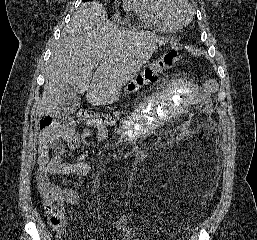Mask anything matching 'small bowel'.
I'll list each match as a JSON object with an SVG mask.
<instances>
[{"label": "small bowel", "instance_id": "obj_1", "mask_svg": "<svg viewBox=\"0 0 257 240\" xmlns=\"http://www.w3.org/2000/svg\"><path fill=\"white\" fill-rule=\"evenodd\" d=\"M108 129L99 125L97 127L96 138L98 141H104L108 137ZM65 142L71 149L81 148V141L75 126L72 123L58 129H46L40 132L37 139V163L40 168L37 171V185L40 193L43 195L48 192L59 194L63 202L75 205L80 202V194L76 189H59L50 182L51 175H73L86 176L92 171V164L88 161L91 157V151L83 148L78 157L71 162L64 161ZM113 226L126 240H139L137 231L129 225L126 218L122 217L113 221ZM55 235L61 237L64 234V228L52 225ZM94 240V239H90Z\"/></svg>", "mask_w": 257, "mask_h": 240}]
</instances>
